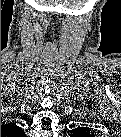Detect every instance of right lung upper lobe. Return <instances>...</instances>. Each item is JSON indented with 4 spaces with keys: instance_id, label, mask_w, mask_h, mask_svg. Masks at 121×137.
<instances>
[{
    "instance_id": "1",
    "label": "right lung upper lobe",
    "mask_w": 121,
    "mask_h": 137,
    "mask_svg": "<svg viewBox=\"0 0 121 137\" xmlns=\"http://www.w3.org/2000/svg\"><path fill=\"white\" fill-rule=\"evenodd\" d=\"M1 128H4V129H10V128H16V126H14L13 124L12 125H2ZM2 132V131H1Z\"/></svg>"
}]
</instances>
